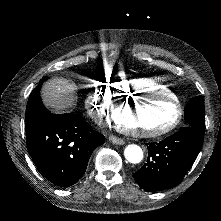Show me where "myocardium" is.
<instances>
[{
    "label": "myocardium",
    "instance_id": "obj_1",
    "mask_svg": "<svg viewBox=\"0 0 221 221\" xmlns=\"http://www.w3.org/2000/svg\"><path fill=\"white\" fill-rule=\"evenodd\" d=\"M160 101L163 103H168L170 106H173L174 112L172 113V117L168 119V122L164 124V126H160L158 129H145L144 131L140 130H131L124 125H121L118 122L119 113L122 109V106L125 105H140L141 102H148L151 100ZM178 104L173 98V96H169L168 94L161 93V92H154L153 94H147L143 92L137 98H125L118 99L112 103L110 111L108 113L107 121L109 124L113 125L116 130H120L121 132L125 133L127 136L131 137H141L146 138L148 140H153L160 138L161 136H165L172 132V128L174 127L175 123L178 121Z\"/></svg>",
    "mask_w": 221,
    "mask_h": 221
}]
</instances>
